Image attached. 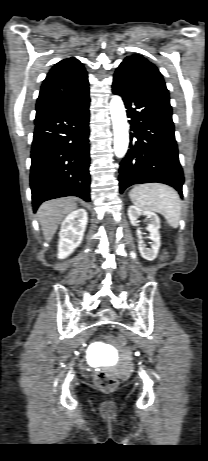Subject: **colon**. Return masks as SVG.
<instances>
[{"instance_id": "1", "label": "colon", "mask_w": 208, "mask_h": 461, "mask_svg": "<svg viewBox=\"0 0 208 461\" xmlns=\"http://www.w3.org/2000/svg\"><path fill=\"white\" fill-rule=\"evenodd\" d=\"M110 339L118 346H125L127 341L122 335H115ZM94 382L97 388L101 390H112L118 385V380L114 373L107 370H99L94 377Z\"/></svg>"}]
</instances>
